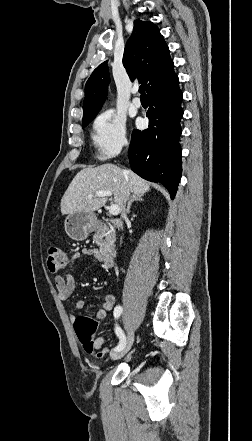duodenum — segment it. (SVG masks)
Here are the masks:
<instances>
[{
	"instance_id": "1",
	"label": "duodenum",
	"mask_w": 252,
	"mask_h": 441,
	"mask_svg": "<svg viewBox=\"0 0 252 441\" xmlns=\"http://www.w3.org/2000/svg\"><path fill=\"white\" fill-rule=\"evenodd\" d=\"M110 222L118 228H121L123 226L122 221L119 219H112V220H110ZM114 258H115V251L110 250V251L105 252L102 255V261H103L104 266L106 268H111L114 264Z\"/></svg>"
}]
</instances>
